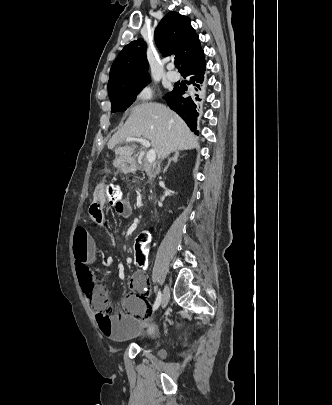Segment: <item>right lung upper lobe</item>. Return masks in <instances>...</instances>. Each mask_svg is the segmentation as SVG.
<instances>
[{
  "label": "right lung upper lobe",
  "mask_w": 332,
  "mask_h": 405,
  "mask_svg": "<svg viewBox=\"0 0 332 405\" xmlns=\"http://www.w3.org/2000/svg\"><path fill=\"white\" fill-rule=\"evenodd\" d=\"M187 16L169 12L155 30V42L164 56L175 55L183 72L204 58L198 35ZM146 43L137 40L126 45L115 59L108 82V90L131 79L147 78Z\"/></svg>",
  "instance_id": "obj_1"
}]
</instances>
